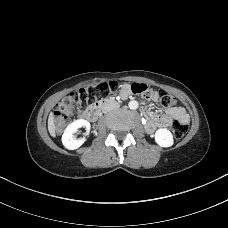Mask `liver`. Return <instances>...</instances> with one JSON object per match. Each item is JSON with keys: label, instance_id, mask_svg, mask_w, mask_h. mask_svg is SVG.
Returning <instances> with one entry per match:
<instances>
[{"label": "liver", "instance_id": "1", "mask_svg": "<svg viewBox=\"0 0 228 228\" xmlns=\"http://www.w3.org/2000/svg\"><path fill=\"white\" fill-rule=\"evenodd\" d=\"M48 131L52 137H55L56 127L54 124V117L52 113H50L48 117Z\"/></svg>", "mask_w": 228, "mask_h": 228}]
</instances>
